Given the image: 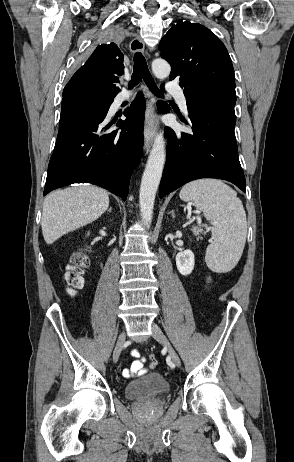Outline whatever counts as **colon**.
Listing matches in <instances>:
<instances>
[{"label": "colon", "mask_w": 294, "mask_h": 462, "mask_svg": "<svg viewBox=\"0 0 294 462\" xmlns=\"http://www.w3.org/2000/svg\"><path fill=\"white\" fill-rule=\"evenodd\" d=\"M88 266L87 258L81 253L77 252L72 256L70 264L66 268L65 281L68 286L70 294L82 288L84 284L83 274ZM150 365H157V358L154 355L149 357Z\"/></svg>", "instance_id": "5ec220e1"}]
</instances>
